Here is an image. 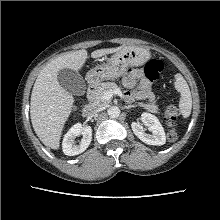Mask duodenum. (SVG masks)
I'll list each match as a JSON object with an SVG mask.
<instances>
[{"label": "duodenum", "instance_id": "1", "mask_svg": "<svg viewBox=\"0 0 220 220\" xmlns=\"http://www.w3.org/2000/svg\"><path fill=\"white\" fill-rule=\"evenodd\" d=\"M87 95H88V102L84 108V115L90 116L96 107V100H95V86L93 84H89L87 88Z\"/></svg>", "mask_w": 220, "mask_h": 220}]
</instances>
